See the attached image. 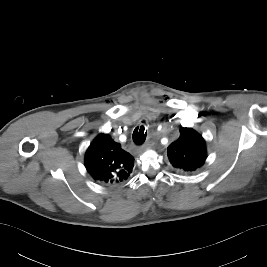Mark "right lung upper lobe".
Listing matches in <instances>:
<instances>
[{
  "mask_svg": "<svg viewBox=\"0 0 267 267\" xmlns=\"http://www.w3.org/2000/svg\"><path fill=\"white\" fill-rule=\"evenodd\" d=\"M85 167L95 181L118 185L129 178L134 158L108 134H99L86 151Z\"/></svg>",
  "mask_w": 267,
  "mask_h": 267,
  "instance_id": "obj_1",
  "label": "right lung upper lobe"
}]
</instances>
